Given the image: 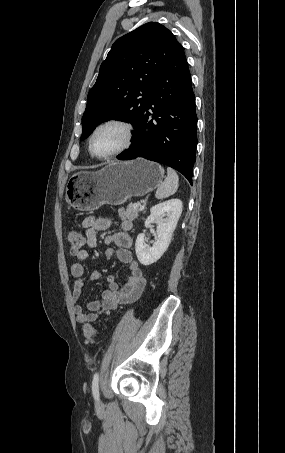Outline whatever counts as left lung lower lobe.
I'll return each instance as SVG.
<instances>
[{"instance_id":"obj_1","label":"left lung lower lobe","mask_w":285,"mask_h":453,"mask_svg":"<svg viewBox=\"0 0 285 453\" xmlns=\"http://www.w3.org/2000/svg\"><path fill=\"white\" fill-rule=\"evenodd\" d=\"M196 127L191 76L183 47L179 45L134 126L130 148L117 158L130 160L143 157L165 164L182 173L192 184Z\"/></svg>"}]
</instances>
